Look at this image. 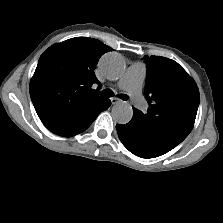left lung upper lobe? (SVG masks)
Wrapping results in <instances>:
<instances>
[{
    "mask_svg": "<svg viewBox=\"0 0 223 223\" xmlns=\"http://www.w3.org/2000/svg\"><path fill=\"white\" fill-rule=\"evenodd\" d=\"M148 67L145 98L147 113L134 110L132 120L147 135L174 146L191 132L200 96L196 83L174 60L145 56Z\"/></svg>",
    "mask_w": 223,
    "mask_h": 223,
    "instance_id": "left-lung-upper-lobe-1",
    "label": "left lung upper lobe"
}]
</instances>
